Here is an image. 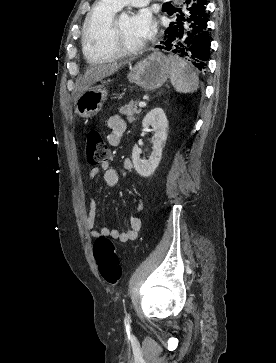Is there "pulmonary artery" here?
<instances>
[{"mask_svg": "<svg viewBox=\"0 0 276 363\" xmlns=\"http://www.w3.org/2000/svg\"><path fill=\"white\" fill-rule=\"evenodd\" d=\"M111 1L115 2L117 5L122 7L125 5L144 6V5H147L151 0H111Z\"/></svg>", "mask_w": 276, "mask_h": 363, "instance_id": "e3ab8cb5", "label": "pulmonary artery"}]
</instances>
